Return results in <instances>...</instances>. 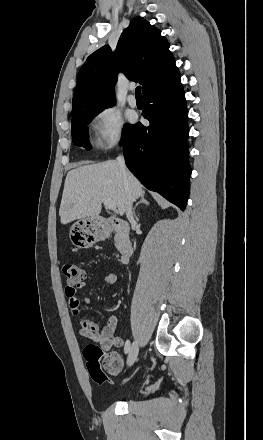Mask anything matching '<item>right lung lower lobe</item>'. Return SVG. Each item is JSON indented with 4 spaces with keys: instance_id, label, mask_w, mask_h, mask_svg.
<instances>
[{
    "instance_id": "98d812e1",
    "label": "right lung lower lobe",
    "mask_w": 263,
    "mask_h": 440,
    "mask_svg": "<svg viewBox=\"0 0 263 440\" xmlns=\"http://www.w3.org/2000/svg\"><path fill=\"white\" fill-rule=\"evenodd\" d=\"M143 97L142 115L150 125H130L123 133L126 165L145 187L184 210L191 168L188 110L179 71L149 88Z\"/></svg>"
}]
</instances>
